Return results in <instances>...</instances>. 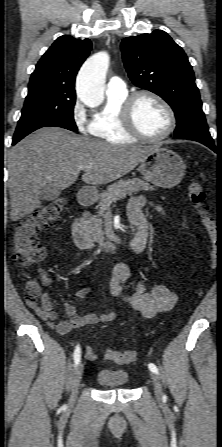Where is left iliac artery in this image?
<instances>
[{
	"label": "left iliac artery",
	"mask_w": 222,
	"mask_h": 447,
	"mask_svg": "<svg viewBox=\"0 0 222 447\" xmlns=\"http://www.w3.org/2000/svg\"><path fill=\"white\" fill-rule=\"evenodd\" d=\"M148 368H149L153 373H156V374L159 373V372H158V368H157L156 365L153 364V363H149V364H148Z\"/></svg>",
	"instance_id": "1"
}]
</instances>
